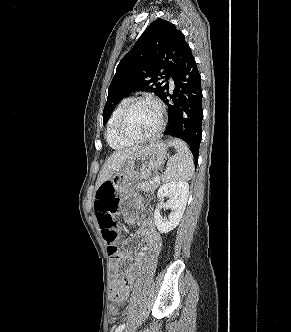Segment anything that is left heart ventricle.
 I'll list each match as a JSON object with an SVG mask.
<instances>
[{
  "mask_svg": "<svg viewBox=\"0 0 291 332\" xmlns=\"http://www.w3.org/2000/svg\"><path fill=\"white\" fill-rule=\"evenodd\" d=\"M159 124L157 108L149 102L132 107L125 121V132L132 137H144L153 133Z\"/></svg>",
  "mask_w": 291,
  "mask_h": 332,
  "instance_id": "1",
  "label": "left heart ventricle"
}]
</instances>
